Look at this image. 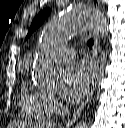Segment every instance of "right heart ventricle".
<instances>
[{
  "mask_svg": "<svg viewBox=\"0 0 125 128\" xmlns=\"http://www.w3.org/2000/svg\"><path fill=\"white\" fill-rule=\"evenodd\" d=\"M19 109L23 116L35 120H48L53 114L46 94L24 84L19 97Z\"/></svg>",
  "mask_w": 125,
  "mask_h": 128,
  "instance_id": "e07e8e85",
  "label": "right heart ventricle"
}]
</instances>
